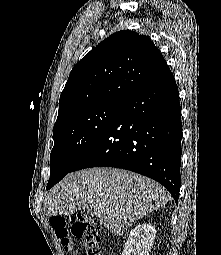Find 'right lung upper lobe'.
Returning a JSON list of instances; mask_svg holds the SVG:
<instances>
[{"label":"right lung upper lobe","instance_id":"obj_1","mask_svg":"<svg viewBox=\"0 0 221 255\" xmlns=\"http://www.w3.org/2000/svg\"><path fill=\"white\" fill-rule=\"evenodd\" d=\"M166 68L165 59L147 36L129 30L116 32L70 72L60 96L56 123L84 108L121 103Z\"/></svg>","mask_w":221,"mask_h":255}]
</instances>
